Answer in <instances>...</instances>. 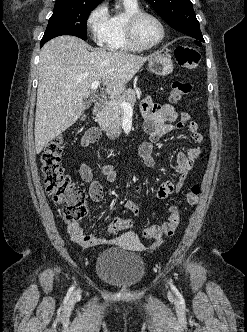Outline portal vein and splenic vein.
Listing matches in <instances>:
<instances>
[{"instance_id": "obj_1", "label": "portal vein and splenic vein", "mask_w": 247, "mask_h": 332, "mask_svg": "<svg viewBox=\"0 0 247 332\" xmlns=\"http://www.w3.org/2000/svg\"><path fill=\"white\" fill-rule=\"evenodd\" d=\"M99 86V81H94L92 84H91V89L92 90H95L97 89ZM103 101V100H102ZM105 103L109 104V105H120L124 110H132V106L130 103L128 102H125V101H122L120 103H116L115 101H104Z\"/></svg>"}]
</instances>
